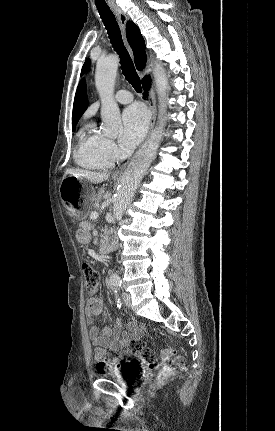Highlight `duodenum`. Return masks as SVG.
Segmentation results:
<instances>
[{
    "label": "duodenum",
    "mask_w": 275,
    "mask_h": 431,
    "mask_svg": "<svg viewBox=\"0 0 275 431\" xmlns=\"http://www.w3.org/2000/svg\"><path fill=\"white\" fill-rule=\"evenodd\" d=\"M117 248V242L109 235L104 236L100 241V253L105 254L114 251Z\"/></svg>",
    "instance_id": "duodenum-1"
}]
</instances>
